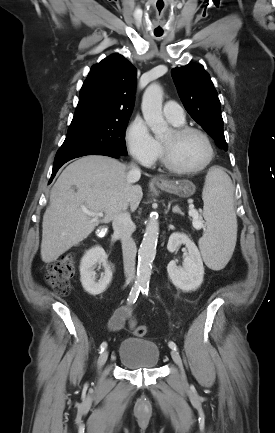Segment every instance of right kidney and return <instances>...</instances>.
Here are the masks:
<instances>
[{"mask_svg": "<svg viewBox=\"0 0 275 433\" xmlns=\"http://www.w3.org/2000/svg\"><path fill=\"white\" fill-rule=\"evenodd\" d=\"M97 264H102L105 272L99 281H96L94 271ZM80 275L83 288L91 295L103 293L112 280V270L107 263V255L100 246L89 249L81 259Z\"/></svg>", "mask_w": 275, "mask_h": 433, "instance_id": "obj_1", "label": "right kidney"}]
</instances>
